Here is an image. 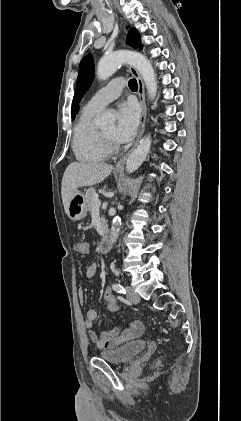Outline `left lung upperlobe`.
<instances>
[{"mask_svg": "<svg viewBox=\"0 0 241 421\" xmlns=\"http://www.w3.org/2000/svg\"><path fill=\"white\" fill-rule=\"evenodd\" d=\"M127 44L134 48H142L140 36L135 28H132L127 36ZM94 75L93 57L89 54L80 62L76 90L72 102V120L75 118L76 108L85 92L92 84Z\"/></svg>", "mask_w": 241, "mask_h": 421, "instance_id": "5c2ea615", "label": "left lung upper lobe"}]
</instances>
